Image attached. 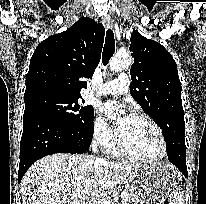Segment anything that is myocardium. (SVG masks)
Returning <instances> with one entry per match:
<instances>
[{
  "label": "myocardium",
  "instance_id": "1",
  "mask_svg": "<svg viewBox=\"0 0 206 204\" xmlns=\"http://www.w3.org/2000/svg\"><path fill=\"white\" fill-rule=\"evenodd\" d=\"M132 116L147 121L156 130L157 134L159 135L160 141H161L162 150L155 157H144V156L137 155L127 148V146L125 145V143L123 141L121 134H119V150H120V152L124 156H126L130 159L141 161V162H146V163H156V162L163 160L168 155V151H169L168 141H167V138L165 136L163 129L151 116H149L145 113L136 112Z\"/></svg>",
  "mask_w": 206,
  "mask_h": 204
}]
</instances>
